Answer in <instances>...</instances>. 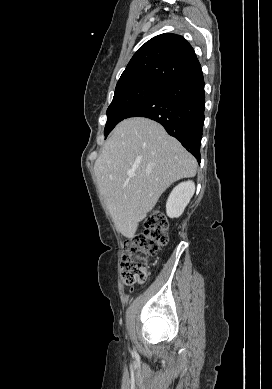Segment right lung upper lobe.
Here are the masks:
<instances>
[{
	"label": "right lung upper lobe",
	"mask_w": 272,
	"mask_h": 389,
	"mask_svg": "<svg viewBox=\"0 0 272 389\" xmlns=\"http://www.w3.org/2000/svg\"><path fill=\"white\" fill-rule=\"evenodd\" d=\"M199 67L200 63L188 41L180 35L165 33L153 37L139 48L117 86L137 81L168 84Z\"/></svg>",
	"instance_id": "obj_1"
}]
</instances>
